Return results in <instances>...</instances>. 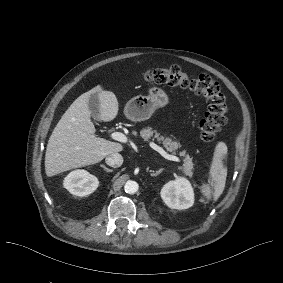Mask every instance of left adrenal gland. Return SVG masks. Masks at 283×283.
Returning a JSON list of instances; mask_svg holds the SVG:
<instances>
[{"mask_svg": "<svg viewBox=\"0 0 283 283\" xmlns=\"http://www.w3.org/2000/svg\"><path fill=\"white\" fill-rule=\"evenodd\" d=\"M162 171V168H160L159 170H157L155 173H151L152 176H157L158 174H160Z\"/></svg>", "mask_w": 283, "mask_h": 283, "instance_id": "obj_1", "label": "left adrenal gland"}]
</instances>
